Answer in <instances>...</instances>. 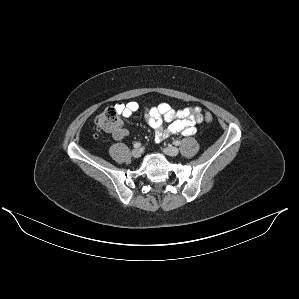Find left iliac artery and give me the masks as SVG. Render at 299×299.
<instances>
[{"instance_id": "44dca946", "label": "left iliac artery", "mask_w": 299, "mask_h": 299, "mask_svg": "<svg viewBox=\"0 0 299 299\" xmlns=\"http://www.w3.org/2000/svg\"><path fill=\"white\" fill-rule=\"evenodd\" d=\"M173 144H174V145H176V146H178V145H180V144H181V142H180V141H178V140H176V141H174V142H173Z\"/></svg>"}]
</instances>
